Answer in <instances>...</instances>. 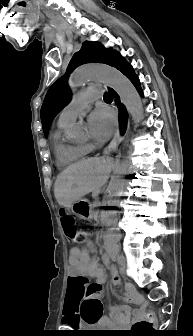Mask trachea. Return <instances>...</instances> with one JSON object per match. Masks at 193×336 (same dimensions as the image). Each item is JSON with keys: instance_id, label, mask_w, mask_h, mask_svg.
Wrapping results in <instances>:
<instances>
[{"instance_id": "1", "label": "trachea", "mask_w": 193, "mask_h": 336, "mask_svg": "<svg viewBox=\"0 0 193 336\" xmlns=\"http://www.w3.org/2000/svg\"><path fill=\"white\" fill-rule=\"evenodd\" d=\"M104 100H105V101L112 100L111 95H110L109 93H105V95H104Z\"/></svg>"}]
</instances>
